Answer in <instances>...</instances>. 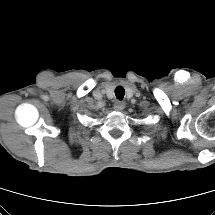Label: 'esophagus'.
<instances>
[{
    "label": "esophagus",
    "instance_id": "1",
    "mask_svg": "<svg viewBox=\"0 0 215 215\" xmlns=\"http://www.w3.org/2000/svg\"><path fill=\"white\" fill-rule=\"evenodd\" d=\"M125 108V103L122 102V101H116L114 103V109L117 110V111H121Z\"/></svg>",
    "mask_w": 215,
    "mask_h": 215
}]
</instances>
